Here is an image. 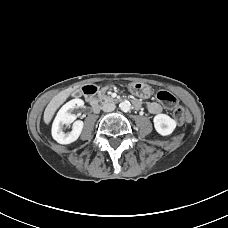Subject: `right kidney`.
<instances>
[{"label":"right kidney","mask_w":228,"mask_h":228,"mask_svg":"<svg viewBox=\"0 0 228 228\" xmlns=\"http://www.w3.org/2000/svg\"><path fill=\"white\" fill-rule=\"evenodd\" d=\"M83 105V100L73 99L63 105L62 108L58 111L52 125V137L58 143L70 144L75 142L79 138L84 124L80 120L74 122L76 116L71 113V110H74L75 108H80ZM71 123H73L72 131L70 133H65L63 131L64 125H70Z\"/></svg>","instance_id":"right-kidney-1"}]
</instances>
